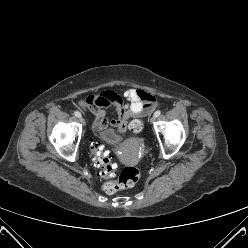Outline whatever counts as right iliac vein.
<instances>
[{"label":"right iliac vein","instance_id":"right-iliac-vein-1","mask_svg":"<svg viewBox=\"0 0 248 248\" xmlns=\"http://www.w3.org/2000/svg\"><path fill=\"white\" fill-rule=\"evenodd\" d=\"M79 119H80V122H81L82 124H85V120H84L83 117H79Z\"/></svg>","mask_w":248,"mask_h":248}]
</instances>
